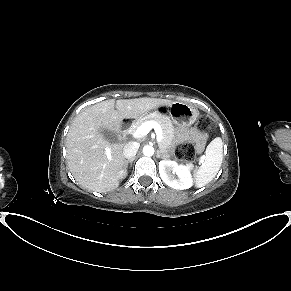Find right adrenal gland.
Segmentation results:
<instances>
[{"label":"right adrenal gland","instance_id":"1","mask_svg":"<svg viewBox=\"0 0 291 291\" xmlns=\"http://www.w3.org/2000/svg\"><path fill=\"white\" fill-rule=\"evenodd\" d=\"M134 159L135 158L127 159V160H125V163L128 164L130 162L132 164V162H133Z\"/></svg>","mask_w":291,"mask_h":291}]
</instances>
